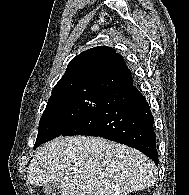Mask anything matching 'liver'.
<instances>
[{
  "label": "liver",
  "mask_w": 189,
  "mask_h": 195,
  "mask_svg": "<svg viewBox=\"0 0 189 195\" xmlns=\"http://www.w3.org/2000/svg\"><path fill=\"white\" fill-rule=\"evenodd\" d=\"M155 164L140 151L100 137H60L34 155L31 185L60 186L61 195H127L151 187Z\"/></svg>",
  "instance_id": "1"
}]
</instances>
